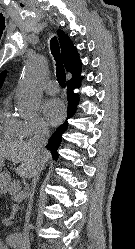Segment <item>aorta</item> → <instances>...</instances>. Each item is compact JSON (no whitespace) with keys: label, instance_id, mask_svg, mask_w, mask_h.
<instances>
[{"label":"aorta","instance_id":"obj_1","mask_svg":"<svg viewBox=\"0 0 135 249\" xmlns=\"http://www.w3.org/2000/svg\"><path fill=\"white\" fill-rule=\"evenodd\" d=\"M48 73L47 60L36 56L29 60L23 69V76L17 92L19 108L28 115H35L41 105V85Z\"/></svg>","mask_w":135,"mask_h":249}]
</instances>
